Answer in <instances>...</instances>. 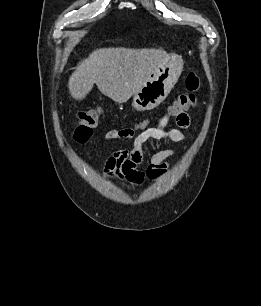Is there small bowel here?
<instances>
[{
    "mask_svg": "<svg viewBox=\"0 0 261 306\" xmlns=\"http://www.w3.org/2000/svg\"><path fill=\"white\" fill-rule=\"evenodd\" d=\"M170 116L164 115L159 123L141 134L135 140L131 149H121L114 151L106 161L105 172L108 177L116 178L121 182H126L132 186H138L145 177L152 180H160L168 172L166 160L173 157L176 151L172 148L164 149L154 153L144 170L140 166L144 161L143 144L150 139L170 140L172 142H182L185 140L183 130L189 125L187 114H182L176 118L178 128H167ZM127 130H110L106 137L108 139L130 138Z\"/></svg>",
    "mask_w": 261,
    "mask_h": 306,
    "instance_id": "1",
    "label": "small bowel"
}]
</instances>
